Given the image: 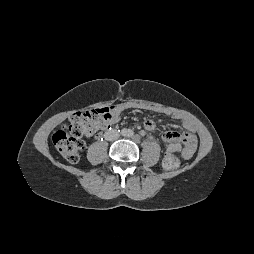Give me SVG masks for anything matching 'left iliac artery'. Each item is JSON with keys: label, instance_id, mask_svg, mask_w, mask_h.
Listing matches in <instances>:
<instances>
[{"label": "left iliac artery", "instance_id": "left-iliac-artery-1", "mask_svg": "<svg viewBox=\"0 0 254 254\" xmlns=\"http://www.w3.org/2000/svg\"><path fill=\"white\" fill-rule=\"evenodd\" d=\"M133 135H134V133H133L132 131H130V132H129V136L132 137Z\"/></svg>", "mask_w": 254, "mask_h": 254}]
</instances>
